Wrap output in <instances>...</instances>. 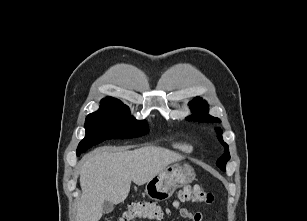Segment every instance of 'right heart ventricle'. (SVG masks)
<instances>
[{
  "label": "right heart ventricle",
  "instance_id": "obj_1",
  "mask_svg": "<svg viewBox=\"0 0 307 221\" xmlns=\"http://www.w3.org/2000/svg\"><path fill=\"white\" fill-rule=\"evenodd\" d=\"M176 147H178L179 149H181L184 152H190L192 150L191 145L186 143V142L177 143Z\"/></svg>",
  "mask_w": 307,
  "mask_h": 221
}]
</instances>
